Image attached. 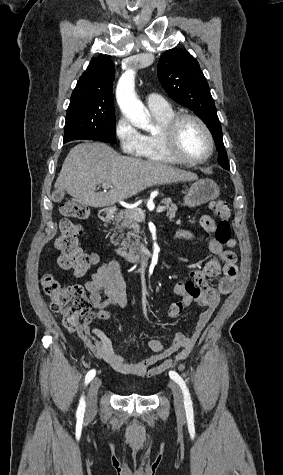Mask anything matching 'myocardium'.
Here are the masks:
<instances>
[{
    "mask_svg": "<svg viewBox=\"0 0 283 475\" xmlns=\"http://www.w3.org/2000/svg\"><path fill=\"white\" fill-rule=\"evenodd\" d=\"M187 119L194 120L201 126L207 137L208 150L203 156L197 158L172 157L166 151V144L169 143L174 145L176 143L179 127L181 123ZM157 148L164 162H205L214 154L215 143L211 130L202 118L190 113H178L175 114L162 128L159 134Z\"/></svg>",
    "mask_w": 283,
    "mask_h": 475,
    "instance_id": "f54148a6",
    "label": "myocardium"
}]
</instances>
